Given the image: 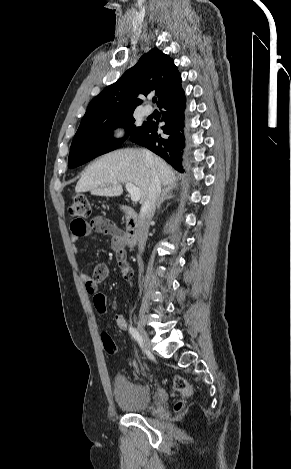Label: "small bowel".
I'll use <instances>...</instances> for the list:
<instances>
[{"label": "small bowel", "mask_w": 291, "mask_h": 469, "mask_svg": "<svg viewBox=\"0 0 291 469\" xmlns=\"http://www.w3.org/2000/svg\"><path fill=\"white\" fill-rule=\"evenodd\" d=\"M71 229V241L73 243L72 250L74 253L79 252L77 242L82 238L90 235L93 232L101 233L110 237V243L112 249L118 254H123L125 259L126 255L124 252L125 247V234L109 219L102 216L94 217L90 222H84L80 220H74L70 225ZM109 275V267L100 263L96 265L91 273L83 272L81 278L84 282L87 292L95 297V293L98 291V285L104 281ZM108 305V303H107ZM111 306L115 308V302H111ZM115 322L121 330H126L128 327L127 320L120 314L115 315Z\"/></svg>", "instance_id": "obj_1"}]
</instances>
